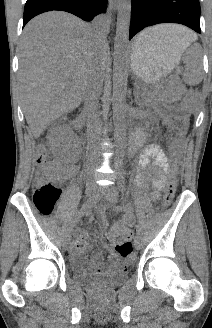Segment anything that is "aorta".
<instances>
[{"label":"aorta","mask_w":212,"mask_h":328,"mask_svg":"<svg viewBox=\"0 0 212 328\" xmlns=\"http://www.w3.org/2000/svg\"><path fill=\"white\" fill-rule=\"evenodd\" d=\"M131 18V0H119L116 36L114 42L113 62V96L112 109L114 120V136L117 142L125 139L126 122V89L128 76V42ZM117 175L121 174L119 168L115 169Z\"/></svg>","instance_id":"aorta-1"}]
</instances>
